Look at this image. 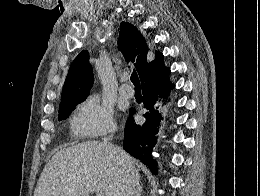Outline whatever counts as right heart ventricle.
Segmentation results:
<instances>
[{
  "label": "right heart ventricle",
  "instance_id": "1",
  "mask_svg": "<svg viewBox=\"0 0 260 196\" xmlns=\"http://www.w3.org/2000/svg\"><path fill=\"white\" fill-rule=\"evenodd\" d=\"M65 192H85V190H66Z\"/></svg>",
  "mask_w": 260,
  "mask_h": 196
}]
</instances>
